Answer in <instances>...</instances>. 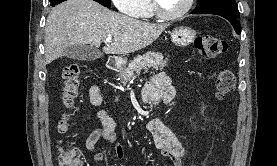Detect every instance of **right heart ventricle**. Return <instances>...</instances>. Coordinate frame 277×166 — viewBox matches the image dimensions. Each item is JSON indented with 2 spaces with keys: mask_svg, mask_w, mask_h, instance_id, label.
<instances>
[{
  "mask_svg": "<svg viewBox=\"0 0 277 166\" xmlns=\"http://www.w3.org/2000/svg\"><path fill=\"white\" fill-rule=\"evenodd\" d=\"M136 17L141 18V19H151L154 17V13L152 11L149 0H145L142 9L139 11V13L136 15Z\"/></svg>",
  "mask_w": 277,
  "mask_h": 166,
  "instance_id": "1",
  "label": "right heart ventricle"
}]
</instances>
